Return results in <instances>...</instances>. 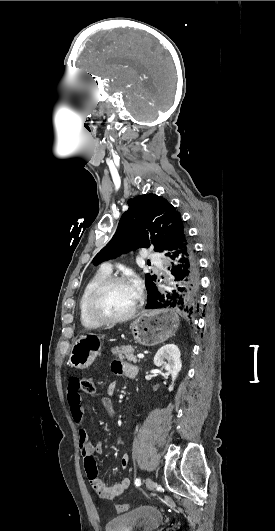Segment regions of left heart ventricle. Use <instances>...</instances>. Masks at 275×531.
I'll return each instance as SVG.
<instances>
[{"instance_id":"1","label":"left heart ventricle","mask_w":275,"mask_h":531,"mask_svg":"<svg viewBox=\"0 0 275 531\" xmlns=\"http://www.w3.org/2000/svg\"><path fill=\"white\" fill-rule=\"evenodd\" d=\"M136 297L137 292L129 281L115 283L100 294L96 301V308L106 316H122L130 311Z\"/></svg>"}]
</instances>
